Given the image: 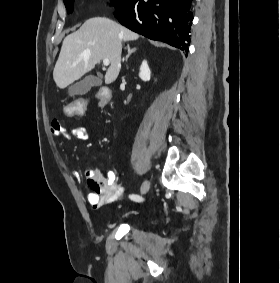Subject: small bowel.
<instances>
[{"mask_svg":"<svg viewBox=\"0 0 280 283\" xmlns=\"http://www.w3.org/2000/svg\"><path fill=\"white\" fill-rule=\"evenodd\" d=\"M50 133L55 137L66 136L80 141H85L89 138L86 127L75 126L68 131L63 124L57 120L52 121ZM84 173L87 185L91 190L86 197L93 209H100L107 204L117 201L124 195L125 189L116 180L113 171H109L107 176L104 177L98 168L87 167ZM72 176L75 179H79L81 178V173L78 170H74L72 171Z\"/></svg>","mask_w":280,"mask_h":283,"instance_id":"1","label":"small bowel"}]
</instances>
